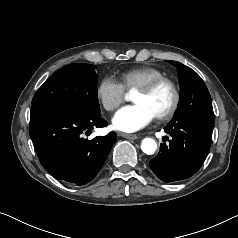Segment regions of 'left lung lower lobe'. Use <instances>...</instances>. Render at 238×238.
I'll return each instance as SVG.
<instances>
[{
  "label": "left lung lower lobe",
  "instance_id": "0a47b994",
  "mask_svg": "<svg viewBox=\"0 0 238 238\" xmlns=\"http://www.w3.org/2000/svg\"><path fill=\"white\" fill-rule=\"evenodd\" d=\"M214 123L171 121L164 128L171 139L161 144L149 165L165 182L187 179L202 166L209 152ZM168 139V137H167Z\"/></svg>",
  "mask_w": 238,
  "mask_h": 238
}]
</instances>
